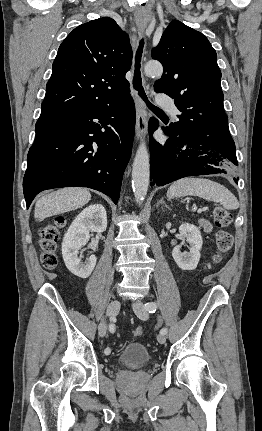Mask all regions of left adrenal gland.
I'll return each mask as SVG.
<instances>
[{"mask_svg":"<svg viewBox=\"0 0 262 431\" xmlns=\"http://www.w3.org/2000/svg\"><path fill=\"white\" fill-rule=\"evenodd\" d=\"M160 204H163L166 208L170 209V207L166 204L163 198L157 203V208Z\"/></svg>","mask_w":262,"mask_h":431,"instance_id":"1","label":"left adrenal gland"}]
</instances>
